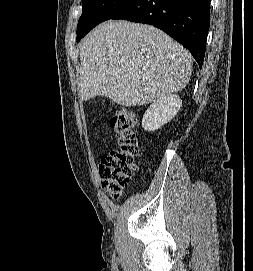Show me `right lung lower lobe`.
<instances>
[{
  "label": "right lung lower lobe",
  "mask_w": 253,
  "mask_h": 271,
  "mask_svg": "<svg viewBox=\"0 0 253 271\" xmlns=\"http://www.w3.org/2000/svg\"><path fill=\"white\" fill-rule=\"evenodd\" d=\"M210 0H130L111 19L153 25L186 47L202 67Z\"/></svg>",
  "instance_id": "98d812e1"
}]
</instances>
